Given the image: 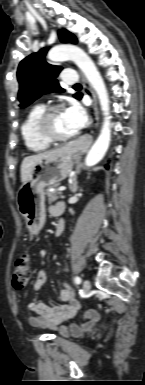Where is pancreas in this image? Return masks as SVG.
Listing matches in <instances>:
<instances>
[{"instance_id": "1", "label": "pancreas", "mask_w": 145, "mask_h": 385, "mask_svg": "<svg viewBox=\"0 0 145 385\" xmlns=\"http://www.w3.org/2000/svg\"><path fill=\"white\" fill-rule=\"evenodd\" d=\"M47 196H48V202L49 203H52L54 202L55 200L58 199V197L62 194L59 190H53V191H50V190H47L46 192Z\"/></svg>"}]
</instances>
